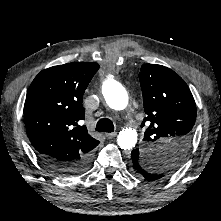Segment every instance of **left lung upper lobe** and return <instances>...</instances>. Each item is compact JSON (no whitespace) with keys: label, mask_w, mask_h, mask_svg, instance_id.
Wrapping results in <instances>:
<instances>
[{"label":"left lung upper lobe","mask_w":221,"mask_h":221,"mask_svg":"<svg viewBox=\"0 0 221 221\" xmlns=\"http://www.w3.org/2000/svg\"><path fill=\"white\" fill-rule=\"evenodd\" d=\"M139 80L147 114L141 124L147 125L143 149L148 156L144 161L152 180L159 181L181 164L190 148L196 104L187 84L167 67L144 64Z\"/></svg>","instance_id":"5c2ea615"}]
</instances>
